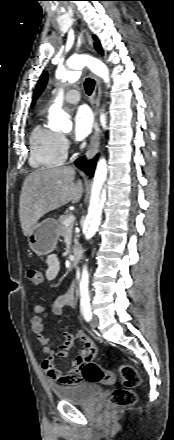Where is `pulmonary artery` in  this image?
Listing matches in <instances>:
<instances>
[{
  "label": "pulmonary artery",
  "instance_id": "pulmonary-artery-1",
  "mask_svg": "<svg viewBox=\"0 0 174 440\" xmlns=\"http://www.w3.org/2000/svg\"><path fill=\"white\" fill-rule=\"evenodd\" d=\"M80 92L76 89H71L65 96V101L68 103H77L80 100Z\"/></svg>",
  "mask_w": 174,
  "mask_h": 440
}]
</instances>
